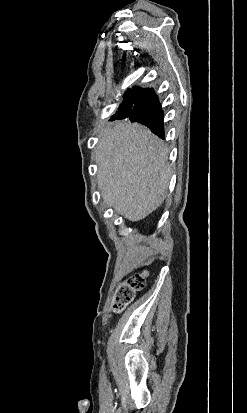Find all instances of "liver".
Segmentation results:
<instances>
[{
  "label": "liver",
  "mask_w": 247,
  "mask_h": 413,
  "mask_svg": "<svg viewBox=\"0 0 247 413\" xmlns=\"http://www.w3.org/2000/svg\"><path fill=\"white\" fill-rule=\"evenodd\" d=\"M163 140L138 122L117 120L100 132L97 182L108 207L141 221L167 196L171 164Z\"/></svg>",
  "instance_id": "obj_1"
}]
</instances>
